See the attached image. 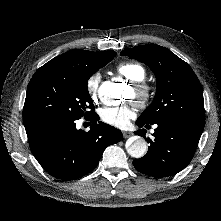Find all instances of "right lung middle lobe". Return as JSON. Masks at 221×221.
I'll return each mask as SVG.
<instances>
[{
	"label": "right lung middle lobe",
	"instance_id": "dd1d6c3e",
	"mask_svg": "<svg viewBox=\"0 0 221 221\" xmlns=\"http://www.w3.org/2000/svg\"><path fill=\"white\" fill-rule=\"evenodd\" d=\"M115 55L116 53L96 57L80 67H40L27 88L23 121L77 120L83 116H92L95 111L87 89L88 79Z\"/></svg>",
	"mask_w": 221,
	"mask_h": 221
}]
</instances>
